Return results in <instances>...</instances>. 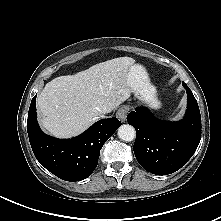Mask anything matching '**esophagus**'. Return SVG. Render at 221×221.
Listing matches in <instances>:
<instances>
[{
  "label": "esophagus",
  "mask_w": 221,
  "mask_h": 221,
  "mask_svg": "<svg viewBox=\"0 0 221 221\" xmlns=\"http://www.w3.org/2000/svg\"><path fill=\"white\" fill-rule=\"evenodd\" d=\"M129 108L128 107H121L118 109V111L116 112V116L117 118L121 121V122H125L126 121V117L128 114Z\"/></svg>",
  "instance_id": "1"
}]
</instances>
